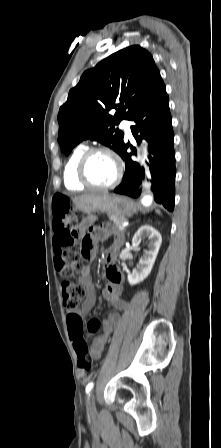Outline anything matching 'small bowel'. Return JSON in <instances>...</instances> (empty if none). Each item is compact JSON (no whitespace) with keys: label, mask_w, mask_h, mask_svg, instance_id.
I'll return each mask as SVG.
<instances>
[{"label":"small bowel","mask_w":221,"mask_h":448,"mask_svg":"<svg viewBox=\"0 0 221 448\" xmlns=\"http://www.w3.org/2000/svg\"><path fill=\"white\" fill-rule=\"evenodd\" d=\"M54 224L55 220L53 216V230L54 233L56 234ZM90 224L91 220L83 221L77 227L78 233H80L81 235L84 234L86 229L90 226ZM89 238L91 240L90 245H92V251H91L92 253L94 252L95 245L98 242L106 239L105 236L102 235L100 228L93 229L91 231V235L89 236ZM119 242H120L119 237L114 238L107 254V266L105 273L108 279V283L103 290V297L106 300L108 306L111 307L112 309L127 310L129 308V304L125 299L122 298V275L114 262ZM79 282L82 286H84L87 289L88 296L84 301V303L82 304V306L78 309L71 310L68 316L75 315L81 318L83 315L88 313L94 305L95 288L92 284L88 268L82 271L81 276L79 278ZM119 323H120V316L115 312L111 313L101 321V334L97 338L96 342L92 344L91 347L89 348L90 355L93 359L97 360L101 357L102 351L105 348V345L114 327ZM82 340L85 341L84 337H82Z\"/></svg>","instance_id":"small-bowel-1"}]
</instances>
